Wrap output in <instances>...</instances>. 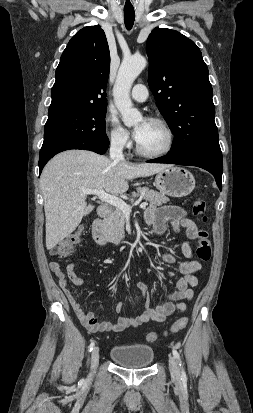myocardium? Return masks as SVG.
Listing matches in <instances>:
<instances>
[{
  "instance_id": "f54148a6",
  "label": "myocardium",
  "mask_w": 253,
  "mask_h": 413,
  "mask_svg": "<svg viewBox=\"0 0 253 413\" xmlns=\"http://www.w3.org/2000/svg\"><path fill=\"white\" fill-rule=\"evenodd\" d=\"M149 121L156 123L157 125H159L166 133L167 135V142L165 144V146L158 150V151H154V152H150V151H146L144 149H142L137 140H136V144H135V150L136 152L143 156V157H148V158H155V157H160L163 156L167 153H169L173 147L174 141H175V134L173 129L171 128V126L168 124V122L162 118L159 117H151L149 119Z\"/></svg>"
}]
</instances>
